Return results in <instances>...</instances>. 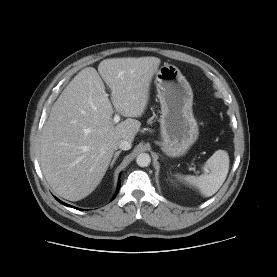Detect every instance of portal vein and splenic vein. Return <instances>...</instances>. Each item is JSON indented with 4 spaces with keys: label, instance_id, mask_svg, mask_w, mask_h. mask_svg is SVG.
<instances>
[{
    "label": "portal vein and splenic vein",
    "instance_id": "portal-vein-and-splenic-vein-1",
    "mask_svg": "<svg viewBox=\"0 0 277 277\" xmlns=\"http://www.w3.org/2000/svg\"><path fill=\"white\" fill-rule=\"evenodd\" d=\"M113 121L114 123H118L120 121V116L118 114H115Z\"/></svg>",
    "mask_w": 277,
    "mask_h": 277
}]
</instances>
